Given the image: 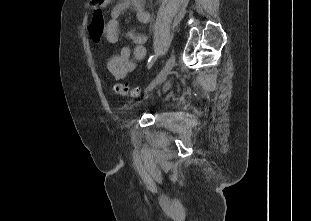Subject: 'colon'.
<instances>
[{"instance_id": "colon-1", "label": "colon", "mask_w": 311, "mask_h": 221, "mask_svg": "<svg viewBox=\"0 0 311 221\" xmlns=\"http://www.w3.org/2000/svg\"><path fill=\"white\" fill-rule=\"evenodd\" d=\"M105 29L106 25L104 22L103 13L102 11H96L93 14L91 23L89 24V31L92 38L95 41H98L100 38H103ZM112 92L114 94L135 97L140 93V89L137 87H129L123 83H117L113 85Z\"/></svg>"}]
</instances>
